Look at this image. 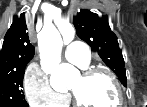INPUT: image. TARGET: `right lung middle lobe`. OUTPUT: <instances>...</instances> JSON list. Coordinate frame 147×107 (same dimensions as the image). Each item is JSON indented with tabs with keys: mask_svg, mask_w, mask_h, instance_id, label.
<instances>
[{
	"mask_svg": "<svg viewBox=\"0 0 147 107\" xmlns=\"http://www.w3.org/2000/svg\"><path fill=\"white\" fill-rule=\"evenodd\" d=\"M25 68L0 75V107H28L23 91Z\"/></svg>",
	"mask_w": 147,
	"mask_h": 107,
	"instance_id": "dd1d6c3e",
	"label": "right lung middle lobe"
}]
</instances>
